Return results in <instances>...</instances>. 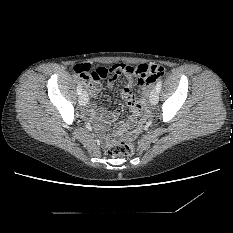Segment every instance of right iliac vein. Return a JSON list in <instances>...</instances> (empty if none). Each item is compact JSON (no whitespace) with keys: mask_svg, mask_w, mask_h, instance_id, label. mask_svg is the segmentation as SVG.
Segmentation results:
<instances>
[{"mask_svg":"<svg viewBox=\"0 0 233 233\" xmlns=\"http://www.w3.org/2000/svg\"><path fill=\"white\" fill-rule=\"evenodd\" d=\"M88 94L86 92L81 93V95L79 96V103L80 105H86L88 102Z\"/></svg>","mask_w":233,"mask_h":233,"instance_id":"1","label":"right iliac vein"}]
</instances>
